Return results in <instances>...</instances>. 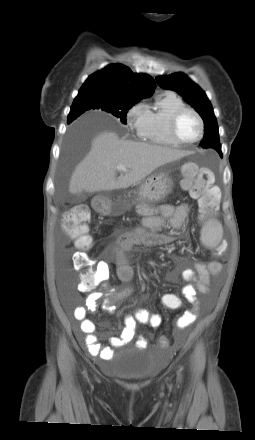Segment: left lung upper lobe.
I'll list each match as a JSON object with an SVG mask.
<instances>
[{
  "label": "left lung upper lobe",
  "instance_id": "5c2ea615",
  "mask_svg": "<svg viewBox=\"0 0 255 440\" xmlns=\"http://www.w3.org/2000/svg\"><path fill=\"white\" fill-rule=\"evenodd\" d=\"M156 81L160 87L178 92L188 104L196 109L204 121L205 135L200 146L212 147L222 157L216 117L205 92L183 73L160 76Z\"/></svg>",
  "mask_w": 255,
  "mask_h": 440
}]
</instances>
